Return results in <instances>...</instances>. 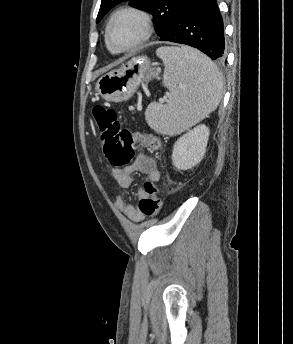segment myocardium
<instances>
[{"mask_svg": "<svg viewBox=\"0 0 293 344\" xmlns=\"http://www.w3.org/2000/svg\"><path fill=\"white\" fill-rule=\"evenodd\" d=\"M122 15H132L134 16L140 24L141 34L140 37L133 44L123 47L115 48L110 40V29L114 21ZM153 34V21L148 12L143 9L134 6H125L114 11L105 27V41L106 45L113 53L120 54L130 51H134L144 45Z\"/></svg>", "mask_w": 293, "mask_h": 344, "instance_id": "myocardium-1", "label": "myocardium"}]
</instances>
